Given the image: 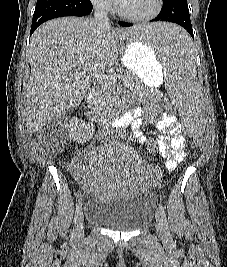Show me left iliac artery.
I'll use <instances>...</instances> for the list:
<instances>
[{"label":"left iliac artery","mask_w":227,"mask_h":267,"mask_svg":"<svg viewBox=\"0 0 227 267\" xmlns=\"http://www.w3.org/2000/svg\"><path fill=\"white\" fill-rule=\"evenodd\" d=\"M159 211H160V213H161V215L163 217V220L165 222V225H166V228H167V234L170 237L171 235H170V232L168 230V223H167L166 213H165L164 207H163V205L161 203L159 204Z\"/></svg>","instance_id":"1"}]
</instances>
